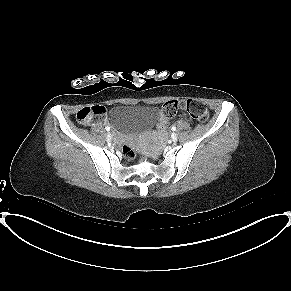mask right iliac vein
<instances>
[{
  "mask_svg": "<svg viewBox=\"0 0 291 291\" xmlns=\"http://www.w3.org/2000/svg\"><path fill=\"white\" fill-rule=\"evenodd\" d=\"M106 140H107L108 142L111 141V134H110V133L107 134V136H106Z\"/></svg>",
  "mask_w": 291,
  "mask_h": 291,
  "instance_id": "63e3f726",
  "label": "right iliac vein"
}]
</instances>
